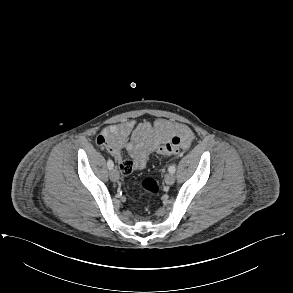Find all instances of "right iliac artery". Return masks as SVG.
Listing matches in <instances>:
<instances>
[{
    "label": "right iliac artery",
    "instance_id": "82829eb1",
    "mask_svg": "<svg viewBox=\"0 0 293 293\" xmlns=\"http://www.w3.org/2000/svg\"><path fill=\"white\" fill-rule=\"evenodd\" d=\"M107 166H108V169H110V170L113 169L114 163H113V161L111 159H108Z\"/></svg>",
    "mask_w": 293,
    "mask_h": 293
}]
</instances>
